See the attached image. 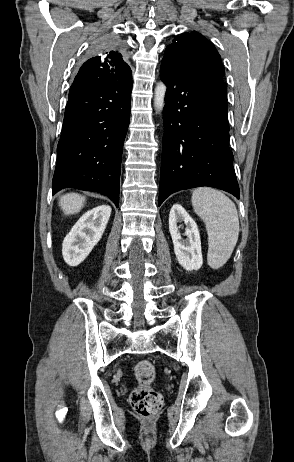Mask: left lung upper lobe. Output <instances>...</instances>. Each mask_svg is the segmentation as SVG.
I'll return each instance as SVG.
<instances>
[{"mask_svg": "<svg viewBox=\"0 0 294 462\" xmlns=\"http://www.w3.org/2000/svg\"><path fill=\"white\" fill-rule=\"evenodd\" d=\"M162 64L208 80H222L225 75L220 55L214 45L195 31L176 37L166 48Z\"/></svg>", "mask_w": 294, "mask_h": 462, "instance_id": "5c2ea615", "label": "left lung upper lobe"}]
</instances>
